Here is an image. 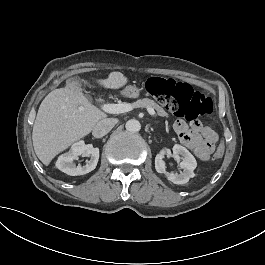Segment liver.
<instances>
[{
	"label": "liver",
	"mask_w": 265,
	"mask_h": 265,
	"mask_svg": "<svg viewBox=\"0 0 265 265\" xmlns=\"http://www.w3.org/2000/svg\"><path fill=\"white\" fill-rule=\"evenodd\" d=\"M98 83L118 89L127 83V78L121 72H111ZM106 117L83 95L79 81H67L64 88L51 91L40 104L32 132L37 157L48 166L57 154L88 135Z\"/></svg>",
	"instance_id": "liver-1"
}]
</instances>
